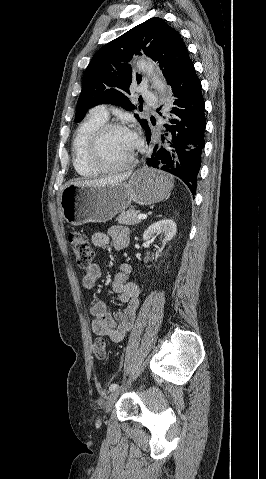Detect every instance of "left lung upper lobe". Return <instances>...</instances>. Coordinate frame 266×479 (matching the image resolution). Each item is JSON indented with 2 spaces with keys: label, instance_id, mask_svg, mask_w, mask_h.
Returning a JSON list of instances; mask_svg holds the SVG:
<instances>
[{
  "label": "left lung upper lobe",
  "instance_id": "5c2ea615",
  "mask_svg": "<svg viewBox=\"0 0 266 479\" xmlns=\"http://www.w3.org/2000/svg\"><path fill=\"white\" fill-rule=\"evenodd\" d=\"M144 52L158 61L167 83L172 86L187 64L191 62L180 34L163 19L155 17L137 25L117 39L100 48L89 63L76 108V122L98 103L121 105L126 110L135 107L128 99L130 85L141 76L134 75L127 64L134 54ZM144 130L148 123L134 115Z\"/></svg>",
  "mask_w": 266,
  "mask_h": 479
}]
</instances>
